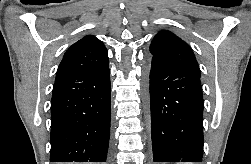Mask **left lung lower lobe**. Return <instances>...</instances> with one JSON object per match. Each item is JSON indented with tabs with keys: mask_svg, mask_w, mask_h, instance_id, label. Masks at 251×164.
I'll use <instances>...</instances> for the list:
<instances>
[{
	"mask_svg": "<svg viewBox=\"0 0 251 164\" xmlns=\"http://www.w3.org/2000/svg\"><path fill=\"white\" fill-rule=\"evenodd\" d=\"M154 162H202L203 96L200 75L161 61L146 62Z\"/></svg>",
	"mask_w": 251,
	"mask_h": 164,
	"instance_id": "left-lung-lower-lobe-1",
	"label": "left lung lower lobe"
}]
</instances>
